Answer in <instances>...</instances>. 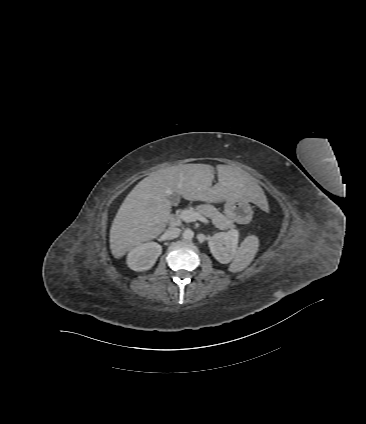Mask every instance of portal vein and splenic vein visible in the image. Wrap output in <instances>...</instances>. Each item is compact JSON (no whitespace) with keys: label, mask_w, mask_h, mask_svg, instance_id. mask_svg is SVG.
Returning <instances> with one entry per match:
<instances>
[{"label":"portal vein and splenic vein","mask_w":366,"mask_h":424,"mask_svg":"<svg viewBox=\"0 0 366 424\" xmlns=\"http://www.w3.org/2000/svg\"><path fill=\"white\" fill-rule=\"evenodd\" d=\"M179 218L185 222H195L197 220L201 222H207L206 218L200 215L199 213L185 209L179 214Z\"/></svg>","instance_id":"18ae733b"}]
</instances>
